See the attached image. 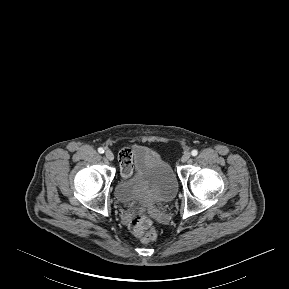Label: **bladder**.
<instances>
[{
  "mask_svg": "<svg viewBox=\"0 0 289 289\" xmlns=\"http://www.w3.org/2000/svg\"><path fill=\"white\" fill-rule=\"evenodd\" d=\"M134 175L119 180L114 188L116 200L124 205L166 204L178 189L177 178L171 166L148 148L133 151Z\"/></svg>",
  "mask_w": 289,
  "mask_h": 289,
  "instance_id": "obj_1",
  "label": "bladder"
}]
</instances>
